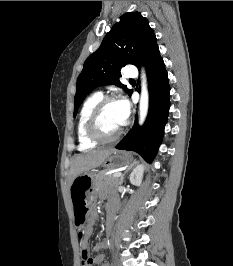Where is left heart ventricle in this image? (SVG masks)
Returning <instances> with one entry per match:
<instances>
[{
    "mask_svg": "<svg viewBox=\"0 0 233 266\" xmlns=\"http://www.w3.org/2000/svg\"><path fill=\"white\" fill-rule=\"evenodd\" d=\"M121 126L117 102L108 103L104 107L99 120V129L101 133L106 136L112 135L121 128Z\"/></svg>",
    "mask_w": 233,
    "mask_h": 266,
    "instance_id": "obj_1",
    "label": "left heart ventricle"
}]
</instances>
